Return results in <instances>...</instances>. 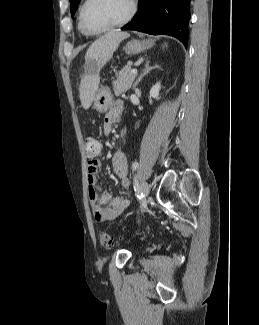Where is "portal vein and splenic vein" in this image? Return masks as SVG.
<instances>
[{
  "label": "portal vein and splenic vein",
  "mask_w": 259,
  "mask_h": 325,
  "mask_svg": "<svg viewBox=\"0 0 259 325\" xmlns=\"http://www.w3.org/2000/svg\"><path fill=\"white\" fill-rule=\"evenodd\" d=\"M131 72H132L133 74H137V69L134 68V69L131 70Z\"/></svg>",
  "instance_id": "portal-vein-and-splenic-vein-1"
}]
</instances>
